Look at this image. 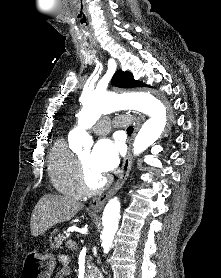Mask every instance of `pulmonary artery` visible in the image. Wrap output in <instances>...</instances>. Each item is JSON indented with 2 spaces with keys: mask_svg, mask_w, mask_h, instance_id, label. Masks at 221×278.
<instances>
[{
  "mask_svg": "<svg viewBox=\"0 0 221 278\" xmlns=\"http://www.w3.org/2000/svg\"><path fill=\"white\" fill-rule=\"evenodd\" d=\"M120 127H125L126 125L132 123V118L129 116L121 117L117 120ZM112 122L108 118L101 119L94 127L93 130L96 134H105L111 129Z\"/></svg>",
  "mask_w": 221,
  "mask_h": 278,
  "instance_id": "pulmonary-artery-1",
  "label": "pulmonary artery"
}]
</instances>
